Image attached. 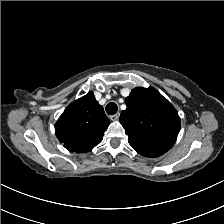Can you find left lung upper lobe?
<instances>
[{
	"label": "left lung upper lobe",
	"mask_w": 224,
	"mask_h": 224,
	"mask_svg": "<svg viewBox=\"0 0 224 224\" xmlns=\"http://www.w3.org/2000/svg\"><path fill=\"white\" fill-rule=\"evenodd\" d=\"M126 105L120 122L129 144L147 157L166 153L180 131V117L173 105L153 87L133 89Z\"/></svg>",
	"instance_id": "left-lung-upper-lobe-1"
}]
</instances>
